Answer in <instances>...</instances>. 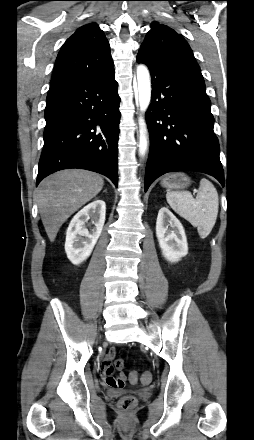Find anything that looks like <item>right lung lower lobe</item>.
Masks as SVG:
<instances>
[{
  "mask_svg": "<svg viewBox=\"0 0 254 440\" xmlns=\"http://www.w3.org/2000/svg\"><path fill=\"white\" fill-rule=\"evenodd\" d=\"M114 66L50 87L38 185L49 174L81 168L107 176L117 187L120 112Z\"/></svg>",
  "mask_w": 254,
  "mask_h": 440,
  "instance_id": "obj_1",
  "label": "right lung lower lobe"
}]
</instances>
